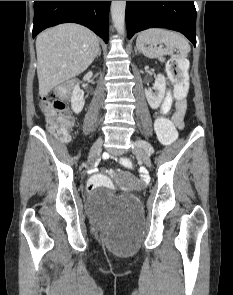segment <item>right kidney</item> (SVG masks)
<instances>
[{
  "instance_id": "1",
  "label": "right kidney",
  "mask_w": 233,
  "mask_h": 295,
  "mask_svg": "<svg viewBox=\"0 0 233 295\" xmlns=\"http://www.w3.org/2000/svg\"><path fill=\"white\" fill-rule=\"evenodd\" d=\"M85 104V100H84V92L83 90L80 89L79 85L76 84L73 87L72 90V95H71V106H72V110L75 114H79Z\"/></svg>"
}]
</instances>
